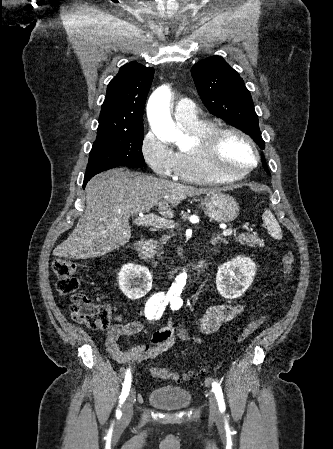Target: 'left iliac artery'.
<instances>
[{
    "label": "left iliac artery",
    "instance_id": "44dca946",
    "mask_svg": "<svg viewBox=\"0 0 333 449\" xmlns=\"http://www.w3.org/2000/svg\"><path fill=\"white\" fill-rule=\"evenodd\" d=\"M181 306V304L178 302V300L176 298H173L171 300V309L172 310H177L179 309ZM212 390L216 396V399L218 401V405H219V409L221 412L225 411V402H224V398H223V393H222V389L221 386L219 385V383H217L216 381L212 382Z\"/></svg>",
    "mask_w": 333,
    "mask_h": 449
}]
</instances>
